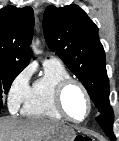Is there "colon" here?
I'll list each match as a JSON object with an SVG mask.
<instances>
[{
	"label": "colon",
	"instance_id": "obj_1",
	"mask_svg": "<svg viewBox=\"0 0 119 141\" xmlns=\"http://www.w3.org/2000/svg\"><path fill=\"white\" fill-rule=\"evenodd\" d=\"M74 141H91V139L84 136H77Z\"/></svg>",
	"mask_w": 119,
	"mask_h": 141
}]
</instances>
